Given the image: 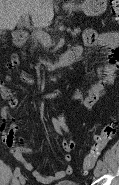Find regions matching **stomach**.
Here are the masks:
<instances>
[{"mask_svg": "<svg viewBox=\"0 0 119 185\" xmlns=\"http://www.w3.org/2000/svg\"><path fill=\"white\" fill-rule=\"evenodd\" d=\"M77 8H80L87 16H98L106 10L107 0H85Z\"/></svg>", "mask_w": 119, "mask_h": 185, "instance_id": "1", "label": "stomach"}]
</instances>
